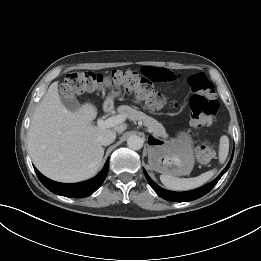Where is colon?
<instances>
[{
  "instance_id": "5ec220e1",
  "label": "colon",
  "mask_w": 261,
  "mask_h": 261,
  "mask_svg": "<svg viewBox=\"0 0 261 261\" xmlns=\"http://www.w3.org/2000/svg\"><path fill=\"white\" fill-rule=\"evenodd\" d=\"M113 85L123 87L151 109H159L166 104L164 97L153 89L149 78L131 70H115L109 75L91 71L72 72L66 76L60 90L63 95L73 97ZM188 85L192 93L189 100L192 126L199 129L211 125L219 107L214 85L204 73L191 75ZM214 156L215 149L210 144L197 148L196 158L202 164L208 163Z\"/></svg>"
}]
</instances>
